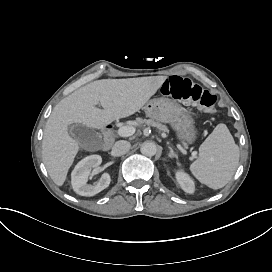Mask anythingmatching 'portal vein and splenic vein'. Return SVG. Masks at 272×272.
I'll return each mask as SVG.
<instances>
[{
  "instance_id": "obj_1",
  "label": "portal vein and splenic vein",
  "mask_w": 272,
  "mask_h": 272,
  "mask_svg": "<svg viewBox=\"0 0 272 272\" xmlns=\"http://www.w3.org/2000/svg\"><path fill=\"white\" fill-rule=\"evenodd\" d=\"M136 129L133 126H122L118 129V135L121 137H128L135 133Z\"/></svg>"
}]
</instances>
